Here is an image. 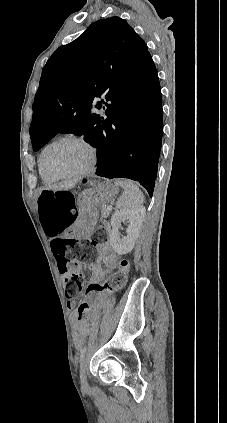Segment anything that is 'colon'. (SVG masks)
<instances>
[{
	"label": "colon",
	"instance_id": "obj_1",
	"mask_svg": "<svg viewBox=\"0 0 227 423\" xmlns=\"http://www.w3.org/2000/svg\"><path fill=\"white\" fill-rule=\"evenodd\" d=\"M38 210L46 234L60 238L52 244L53 253L63 278L65 296L68 299H75L81 294L83 269L95 259V245L106 242L107 231L105 228H99L91 240L76 241L65 237L66 230L73 224L77 214L74 196L68 190H43L38 198ZM128 269V261L122 259L108 284L105 286L90 284L78 308L79 316L85 318L90 314L102 289L106 287L116 290L122 287Z\"/></svg>",
	"mask_w": 227,
	"mask_h": 423
}]
</instances>
